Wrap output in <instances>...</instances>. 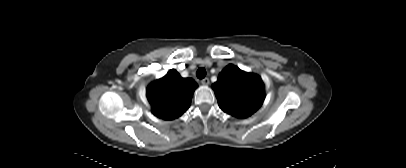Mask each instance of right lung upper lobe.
Wrapping results in <instances>:
<instances>
[{
	"label": "right lung upper lobe",
	"mask_w": 406,
	"mask_h": 168,
	"mask_svg": "<svg viewBox=\"0 0 406 168\" xmlns=\"http://www.w3.org/2000/svg\"><path fill=\"white\" fill-rule=\"evenodd\" d=\"M196 88L197 84L193 79L182 78L172 69L163 78L148 86L147 98L154 115L164 120H172L189 108Z\"/></svg>",
	"instance_id": "cb5924a9"
}]
</instances>
